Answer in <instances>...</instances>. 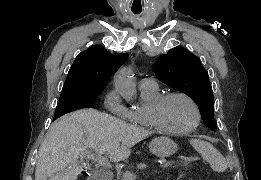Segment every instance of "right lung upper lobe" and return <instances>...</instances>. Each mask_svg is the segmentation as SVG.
Segmentation results:
<instances>
[{
  "label": "right lung upper lobe",
  "mask_w": 261,
  "mask_h": 180,
  "mask_svg": "<svg viewBox=\"0 0 261 180\" xmlns=\"http://www.w3.org/2000/svg\"><path fill=\"white\" fill-rule=\"evenodd\" d=\"M127 57L126 53L111 54L102 46H92L77 55L63 89L103 90L111 75L127 60Z\"/></svg>",
  "instance_id": "cb5924a9"
}]
</instances>
